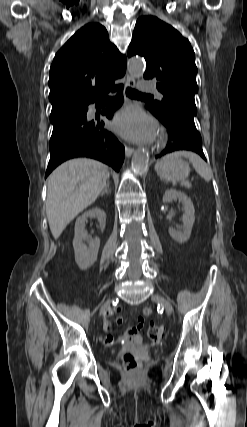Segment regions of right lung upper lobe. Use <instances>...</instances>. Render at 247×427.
Listing matches in <instances>:
<instances>
[{"label":"right lung upper lobe","mask_w":247,"mask_h":427,"mask_svg":"<svg viewBox=\"0 0 247 427\" xmlns=\"http://www.w3.org/2000/svg\"><path fill=\"white\" fill-rule=\"evenodd\" d=\"M126 72V56L110 43L106 29L89 23L57 52L49 75L52 110L85 105L114 89Z\"/></svg>","instance_id":"right-lung-upper-lobe-1"}]
</instances>
